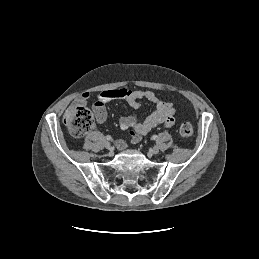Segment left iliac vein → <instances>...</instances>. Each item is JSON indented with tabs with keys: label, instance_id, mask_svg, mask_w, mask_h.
<instances>
[{
	"label": "left iliac vein",
	"instance_id": "1",
	"mask_svg": "<svg viewBox=\"0 0 259 259\" xmlns=\"http://www.w3.org/2000/svg\"><path fill=\"white\" fill-rule=\"evenodd\" d=\"M159 148L157 146H154L153 148L150 149V153L155 155L158 154Z\"/></svg>",
	"mask_w": 259,
	"mask_h": 259
}]
</instances>
